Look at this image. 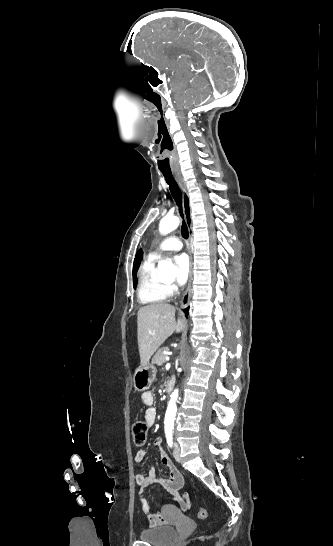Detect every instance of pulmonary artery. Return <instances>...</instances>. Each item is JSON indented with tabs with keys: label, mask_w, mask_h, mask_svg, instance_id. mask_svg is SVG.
I'll use <instances>...</instances> for the list:
<instances>
[{
	"label": "pulmonary artery",
	"mask_w": 333,
	"mask_h": 546,
	"mask_svg": "<svg viewBox=\"0 0 333 546\" xmlns=\"http://www.w3.org/2000/svg\"><path fill=\"white\" fill-rule=\"evenodd\" d=\"M182 248V242L176 238V237H167L165 238L161 243L160 245L158 246V248L156 250H154L151 254H150V258L152 259H156L160 256L161 253L163 252H167V251H179L181 250Z\"/></svg>",
	"instance_id": "1"
}]
</instances>
